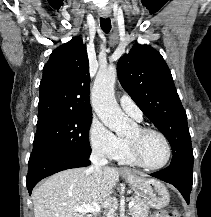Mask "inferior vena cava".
<instances>
[{
	"mask_svg": "<svg viewBox=\"0 0 211 217\" xmlns=\"http://www.w3.org/2000/svg\"><path fill=\"white\" fill-rule=\"evenodd\" d=\"M91 166L90 170L92 171L96 183L100 185L102 179L103 168L108 164L107 159L100 150H93L90 156Z\"/></svg>",
	"mask_w": 211,
	"mask_h": 217,
	"instance_id": "inferior-vena-cava-1",
	"label": "inferior vena cava"
}]
</instances>
